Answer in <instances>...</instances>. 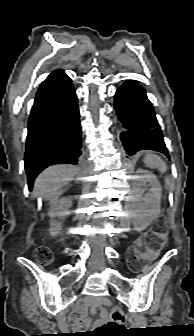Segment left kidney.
Returning <instances> with one entry per match:
<instances>
[{"instance_id":"obj_1","label":"left kidney","mask_w":194,"mask_h":336,"mask_svg":"<svg viewBox=\"0 0 194 336\" xmlns=\"http://www.w3.org/2000/svg\"><path fill=\"white\" fill-rule=\"evenodd\" d=\"M133 176L132 191L129 196L130 217L138 230L147 228L160 214L161 186L157 177L151 172L138 170ZM150 186L144 194L143 185Z\"/></svg>"}]
</instances>
